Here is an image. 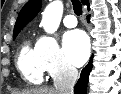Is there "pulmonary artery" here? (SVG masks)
<instances>
[{"label":"pulmonary artery","instance_id":"obj_1","mask_svg":"<svg viewBox=\"0 0 121 94\" xmlns=\"http://www.w3.org/2000/svg\"><path fill=\"white\" fill-rule=\"evenodd\" d=\"M63 23L66 27L73 28L77 25V19L75 15L67 14L63 19Z\"/></svg>","mask_w":121,"mask_h":94}]
</instances>
